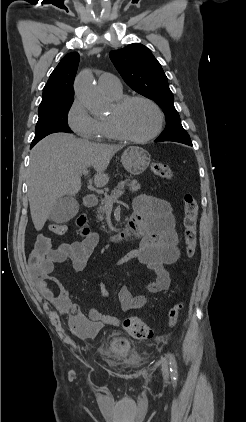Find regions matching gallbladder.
<instances>
[{
    "label": "gallbladder",
    "mask_w": 246,
    "mask_h": 422,
    "mask_svg": "<svg viewBox=\"0 0 246 422\" xmlns=\"http://www.w3.org/2000/svg\"><path fill=\"white\" fill-rule=\"evenodd\" d=\"M79 203L73 196L59 198L53 206L49 219L55 223H66L76 216Z\"/></svg>",
    "instance_id": "1"
}]
</instances>
